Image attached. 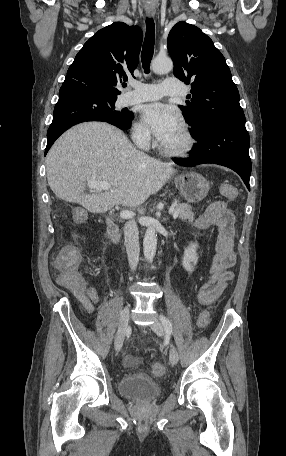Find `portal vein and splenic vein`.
I'll list each match as a JSON object with an SVG mask.
<instances>
[{
    "instance_id": "1",
    "label": "portal vein and splenic vein",
    "mask_w": 286,
    "mask_h": 456,
    "mask_svg": "<svg viewBox=\"0 0 286 456\" xmlns=\"http://www.w3.org/2000/svg\"><path fill=\"white\" fill-rule=\"evenodd\" d=\"M87 186L90 189H94V190H98V191H108L111 189V184L106 181L88 180ZM170 213L172 214L173 218L176 219L179 215V210L170 211ZM134 215H135V213L131 210H123L120 212V216L122 218H132Z\"/></svg>"
}]
</instances>
